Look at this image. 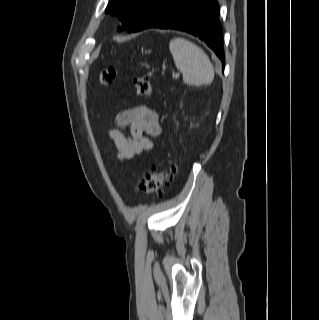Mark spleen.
Instances as JSON below:
<instances>
[{"label":"spleen","instance_id":"spleen-1","mask_svg":"<svg viewBox=\"0 0 319 320\" xmlns=\"http://www.w3.org/2000/svg\"><path fill=\"white\" fill-rule=\"evenodd\" d=\"M169 49L177 69L182 72L184 83L201 86L213 81V66L206 53L197 45L177 37L170 41Z\"/></svg>","mask_w":319,"mask_h":320}]
</instances>
